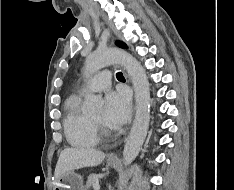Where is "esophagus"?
<instances>
[{
    "instance_id": "1",
    "label": "esophagus",
    "mask_w": 234,
    "mask_h": 190,
    "mask_svg": "<svg viewBox=\"0 0 234 190\" xmlns=\"http://www.w3.org/2000/svg\"><path fill=\"white\" fill-rule=\"evenodd\" d=\"M109 159H117V154L116 153H111L109 155Z\"/></svg>"
}]
</instances>
